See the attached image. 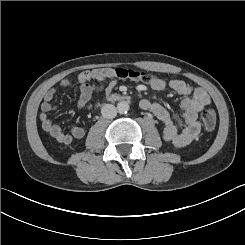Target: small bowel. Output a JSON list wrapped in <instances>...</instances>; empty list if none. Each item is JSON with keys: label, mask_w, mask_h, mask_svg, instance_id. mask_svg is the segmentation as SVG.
<instances>
[{"label": "small bowel", "mask_w": 245, "mask_h": 245, "mask_svg": "<svg viewBox=\"0 0 245 245\" xmlns=\"http://www.w3.org/2000/svg\"><path fill=\"white\" fill-rule=\"evenodd\" d=\"M83 84L80 88V96L77 102V108H83L90 102L96 93L107 95L117 85L118 80L113 74L111 68L95 69L82 74ZM62 86H69L68 80H62ZM150 87L155 91H162L166 88L172 89L175 93L185 96L181 102L183 116L177 117L171 115L162 105L148 100H142L143 109L152 112L158 120L163 123V138L171 142L176 147H184L193 141L200 132V122L198 113L207 105L211 99L209 94L203 88H192L186 82L180 79L166 81L161 78H154L150 82ZM55 89H48L43 96L40 109V122L42 129L53 139L62 144H70L74 139L84 137V130L78 126H71L69 132H65L60 125L54 123L49 113L56 106L53 104Z\"/></svg>", "instance_id": "small-bowel-1"}]
</instances>
